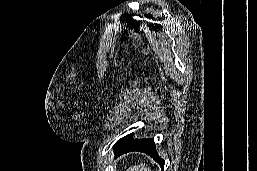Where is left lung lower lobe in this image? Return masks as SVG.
Instances as JSON below:
<instances>
[{
    "label": "left lung lower lobe",
    "instance_id": "0a47b994",
    "mask_svg": "<svg viewBox=\"0 0 257 171\" xmlns=\"http://www.w3.org/2000/svg\"><path fill=\"white\" fill-rule=\"evenodd\" d=\"M115 151V157H118L124 153L139 151L150 155L164 168V160L157 154L155 150V143L153 138L148 139H134L133 134H129L119 139L113 146Z\"/></svg>",
    "mask_w": 257,
    "mask_h": 171
}]
</instances>
